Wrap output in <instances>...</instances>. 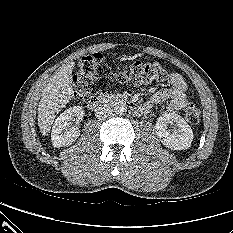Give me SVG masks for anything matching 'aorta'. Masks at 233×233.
<instances>
[{
  "label": "aorta",
  "mask_w": 233,
  "mask_h": 233,
  "mask_svg": "<svg viewBox=\"0 0 233 233\" xmlns=\"http://www.w3.org/2000/svg\"><path fill=\"white\" fill-rule=\"evenodd\" d=\"M114 112L118 116H123L127 112V107L124 104H118L115 106Z\"/></svg>",
  "instance_id": "obj_1"
}]
</instances>
